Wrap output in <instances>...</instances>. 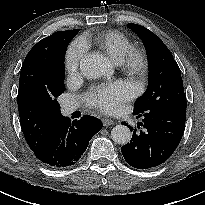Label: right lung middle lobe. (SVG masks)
Returning a JSON list of instances; mask_svg holds the SVG:
<instances>
[{"label": "right lung middle lobe", "instance_id": "1", "mask_svg": "<svg viewBox=\"0 0 205 205\" xmlns=\"http://www.w3.org/2000/svg\"><path fill=\"white\" fill-rule=\"evenodd\" d=\"M69 42L63 43L58 50V61L53 70V101L52 106L57 111L60 112V106L57 102L58 96H60L65 91L64 77H65V67H64V55Z\"/></svg>", "mask_w": 205, "mask_h": 205}]
</instances>
